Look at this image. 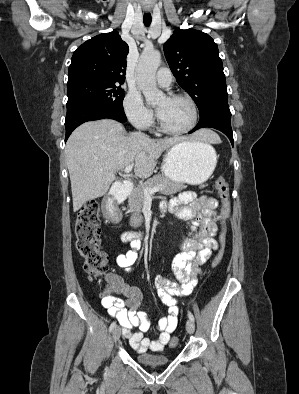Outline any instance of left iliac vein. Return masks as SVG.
Masks as SVG:
<instances>
[{
  "mask_svg": "<svg viewBox=\"0 0 299 394\" xmlns=\"http://www.w3.org/2000/svg\"><path fill=\"white\" fill-rule=\"evenodd\" d=\"M186 330L189 334H193V332L195 330L194 322L190 319L187 320V322H186Z\"/></svg>",
  "mask_w": 299,
  "mask_h": 394,
  "instance_id": "left-iliac-vein-1",
  "label": "left iliac vein"
}]
</instances>
